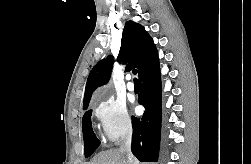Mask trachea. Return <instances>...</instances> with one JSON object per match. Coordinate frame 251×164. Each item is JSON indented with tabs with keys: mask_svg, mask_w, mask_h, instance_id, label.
Wrapping results in <instances>:
<instances>
[{
	"mask_svg": "<svg viewBox=\"0 0 251 164\" xmlns=\"http://www.w3.org/2000/svg\"><path fill=\"white\" fill-rule=\"evenodd\" d=\"M132 73H133L134 75H136V74H137V69H134V70L132 71ZM134 81H135V82H138V80H137L136 78H134Z\"/></svg>",
	"mask_w": 251,
	"mask_h": 164,
	"instance_id": "3493384b",
	"label": "trachea"
}]
</instances>
